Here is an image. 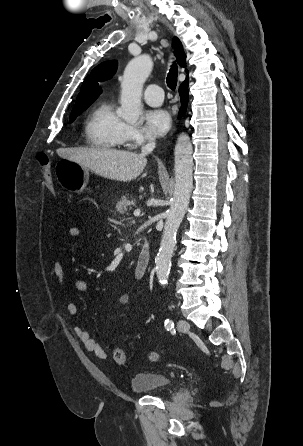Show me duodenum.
I'll use <instances>...</instances> for the list:
<instances>
[{
  "mask_svg": "<svg viewBox=\"0 0 303 446\" xmlns=\"http://www.w3.org/2000/svg\"><path fill=\"white\" fill-rule=\"evenodd\" d=\"M151 260V249L147 242H144L142 248L139 252L136 264H135V274L138 277L143 276L149 267Z\"/></svg>",
  "mask_w": 303,
  "mask_h": 446,
  "instance_id": "410a0bca",
  "label": "duodenum"
}]
</instances>
